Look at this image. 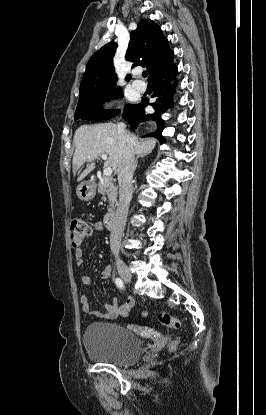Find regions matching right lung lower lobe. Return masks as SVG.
I'll return each instance as SVG.
<instances>
[{
  "instance_id": "98d812e1",
  "label": "right lung lower lobe",
  "mask_w": 266,
  "mask_h": 415,
  "mask_svg": "<svg viewBox=\"0 0 266 415\" xmlns=\"http://www.w3.org/2000/svg\"><path fill=\"white\" fill-rule=\"evenodd\" d=\"M176 74L177 66L173 64L168 69L151 78L154 89L152 97H155L156 101L150 105L154 108V113L147 114L145 112L144 106L148 105L147 99H143L141 103L133 104L124 110L122 116L131 125L132 130L136 129L139 124L143 125L147 122H154L156 124V130L147 136L155 137L161 143L165 142V138L162 136V131L165 128V121L161 118V115L174 104L172 94L175 88L171 85V80L174 79Z\"/></svg>"
}]
</instances>
